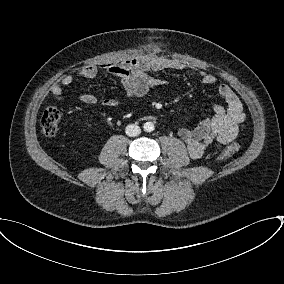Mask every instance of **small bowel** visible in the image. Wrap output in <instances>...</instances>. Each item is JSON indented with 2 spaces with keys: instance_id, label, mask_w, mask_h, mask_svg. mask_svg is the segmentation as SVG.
Segmentation results:
<instances>
[{
  "instance_id": "small-bowel-1",
  "label": "small bowel",
  "mask_w": 284,
  "mask_h": 284,
  "mask_svg": "<svg viewBox=\"0 0 284 284\" xmlns=\"http://www.w3.org/2000/svg\"><path fill=\"white\" fill-rule=\"evenodd\" d=\"M102 70L105 75L121 79L126 99L144 96L151 88L164 85L166 82L160 78L152 77L148 73L168 69H180V65L168 59L154 56H140L121 62L104 64ZM98 69L94 65L79 67L74 74L65 75L58 83L51 87V93L57 100H62L65 87L69 86L75 78L93 79ZM204 85H216L217 78L210 73L200 75ZM217 92L224 100L225 105L215 104L212 107L213 115L204 118L194 128H181L178 131L180 138L185 142L191 158H200L205 150L214 145L223 147L236 139L244 127L245 113L241 100L226 84H218ZM80 102L92 105L97 102L94 93L88 92L80 96ZM121 100L113 97L103 101L106 107L119 105Z\"/></svg>"
}]
</instances>
